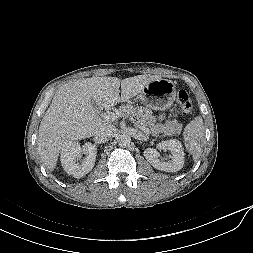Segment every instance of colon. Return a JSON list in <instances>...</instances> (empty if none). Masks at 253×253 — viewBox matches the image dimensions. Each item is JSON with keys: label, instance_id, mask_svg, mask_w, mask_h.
<instances>
[{"label": "colon", "instance_id": "5ec220e1", "mask_svg": "<svg viewBox=\"0 0 253 253\" xmlns=\"http://www.w3.org/2000/svg\"><path fill=\"white\" fill-rule=\"evenodd\" d=\"M177 102L186 114H191L193 105L187 91L181 89L177 93Z\"/></svg>", "mask_w": 253, "mask_h": 253}]
</instances>
